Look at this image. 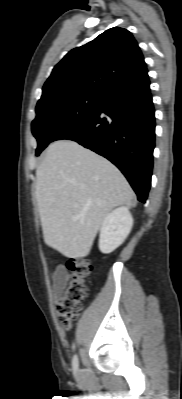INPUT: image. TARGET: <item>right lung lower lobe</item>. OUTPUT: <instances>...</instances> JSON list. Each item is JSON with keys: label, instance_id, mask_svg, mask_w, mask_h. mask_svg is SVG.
Segmentation results:
<instances>
[{"label": "right lung lower lobe", "instance_id": "98d812e1", "mask_svg": "<svg viewBox=\"0 0 182 399\" xmlns=\"http://www.w3.org/2000/svg\"><path fill=\"white\" fill-rule=\"evenodd\" d=\"M150 81L107 93L93 115L55 135L104 156L125 175L145 203L151 185L155 116Z\"/></svg>", "mask_w": 182, "mask_h": 399}]
</instances>
